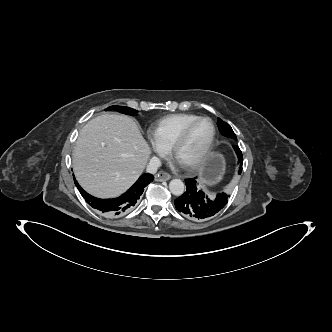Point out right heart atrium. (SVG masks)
<instances>
[{
    "label": "right heart atrium",
    "mask_w": 332,
    "mask_h": 332,
    "mask_svg": "<svg viewBox=\"0 0 332 332\" xmlns=\"http://www.w3.org/2000/svg\"><path fill=\"white\" fill-rule=\"evenodd\" d=\"M148 146L151 152L158 157H165L168 154V149L164 147L152 134L147 136Z\"/></svg>",
    "instance_id": "right-heart-atrium-1"
}]
</instances>
